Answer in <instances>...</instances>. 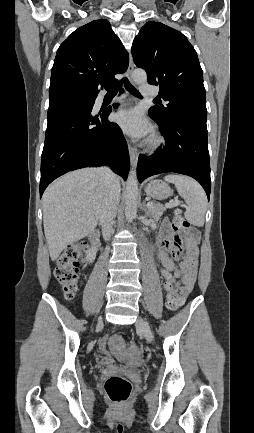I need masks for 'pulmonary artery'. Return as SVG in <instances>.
<instances>
[{"instance_id": "e3ab8cb5", "label": "pulmonary artery", "mask_w": 254, "mask_h": 433, "mask_svg": "<svg viewBox=\"0 0 254 433\" xmlns=\"http://www.w3.org/2000/svg\"><path fill=\"white\" fill-rule=\"evenodd\" d=\"M141 92L144 95L154 96L158 94V89L156 87L150 85H141Z\"/></svg>"}]
</instances>
